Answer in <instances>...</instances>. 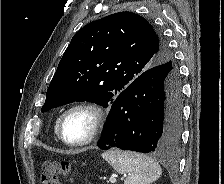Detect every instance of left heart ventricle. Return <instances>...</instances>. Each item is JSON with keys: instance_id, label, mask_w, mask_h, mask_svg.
Here are the masks:
<instances>
[{"instance_id": "b2bd125f", "label": "left heart ventricle", "mask_w": 224, "mask_h": 184, "mask_svg": "<svg viewBox=\"0 0 224 184\" xmlns=\"http://www.w3.org/2000/svg\"><path fill=\"white\" fill-rule=\"evenodd\" d=\"M93 123L92 115L87 111L72 112L63 125L64 137L72 142L85 139L90 133Z\"/></svg>"}]
</instances>
